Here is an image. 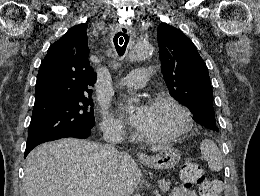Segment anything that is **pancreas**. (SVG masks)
Here are the masks:
<instances>
[{"mask_svg": "<svg viewBox=\"0 0 260 196\" xmlns=\"http://www.w3.org/2000/svg\"><path fill=\"white\" fill-rule=\"evenodd\" d=\"M158 184L161 192H169L171 180H158Z\"/></svg>", "mask_w": 260, "mask_h": 196, "instance_id": "pancreas-1", "label": "pancreas"}]
</instances>
